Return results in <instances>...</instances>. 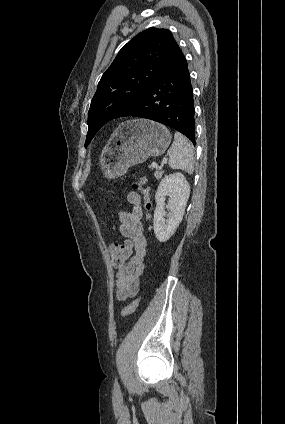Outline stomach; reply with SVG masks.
I'll use <instances>...</instances> for the list:
<instances>
[{"mask_svg": "<svg viewBox=\"0 0 285 424\" xmlns=\"http://www.w3.org/2000/svg\"><path fill=\"white\" fill-rule=\"evenodd\" d=\"M169 130L156 122L134 119L123 122L113 133L100 156L107 178L126 173L129 167L145 162L149 156H160L169 147Z\"/></svg>", "mask_w": 285, "mask_h": 424, "instance_id": "1", "label": "stomach"}]
</instances>
